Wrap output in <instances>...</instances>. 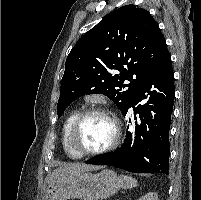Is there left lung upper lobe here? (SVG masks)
<instances>
[{"label": "left lung upper lobe", "mask_w": 201, "mask_h": 200, "mask_svg": "<svg viewBox=\"0 0 201 200\" xmlns=\"http://www.w3.org/2000/svg\"><path fill=\"white\" fill-rule=\"evenodd\" d=\"M166 52L164 36L148 11L130 4L111 12L69 53L61 81L58 117L75 99L94 93L109 97L123 114ZM116 70L120 74H115Z\"/></svg>", "instance_id": "1"}]
</instances>
